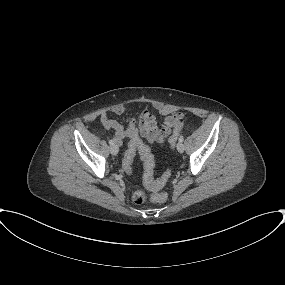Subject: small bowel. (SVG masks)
I'll use <instances>...</instances> for the list:
<instances>
[{
    "label": "small bowel",
    "instance_id": "1",
    "mask_svg": "<svg viewBox=\"0 0 285 285\" xmlns=\"http://www.w3.org/2000/svg\"><path fill=\"white\" fill-rule=\"evenodd\" d=\"M126 107L123 104L113 106L112 113L120 115L124 113ZM183 114L176 112L164 117L162 121L150 111H144L139 119L130 118L126 124L119 123L106 113L100 115V122L103 128L114 130V140L120 145L124 139L141 143V137L151 143H162L174 131H180ZM148 188L154 189L152 185Z\"/></svg>",
    "mask_w": 285,
    "mask_h": 285
}]
</instances>
